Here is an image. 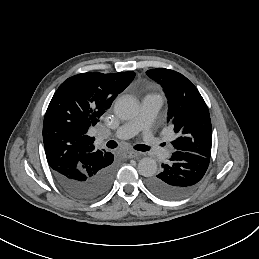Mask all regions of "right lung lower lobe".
<instances>
[{"mask_svg":"<svg viewBox=\"0 0 259 259\" xmlns=\"http://www.w3.org/2000/svg\"><path fill=\"white\" fill-rule=\"evenodd\" d=\"M114 156L107 152L97 166H88L79 174L65 175L52 171L59 186L72 198L79 201H94L104 196L111 188L115 166Z\"/></svg>","mask_w":259,"mask_h":259,"instance_id":"right-lung-lower-lobe-1","label":"right lung lower lobe"}]
</instances>
